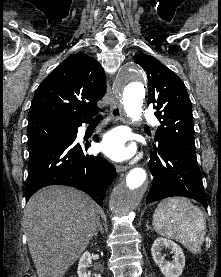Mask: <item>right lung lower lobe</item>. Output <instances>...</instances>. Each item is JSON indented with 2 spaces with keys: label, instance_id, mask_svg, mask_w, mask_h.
Segmentation results:
<instances>
[{
  "label": "right lung lower lobe",
  "instance_id": "98d812e1",
  "mask_svg": "<svg viewBox=\"0 0 221 277\" xmlns=\"http://www.w3.org/2000/svg\"><path fill=\"white\" fill-rule=\"evenodd\" d=\"M91 118L64 122L67 129L62 136L30 151L26 201L45 186L67 185L84 191L103 205L105 192L116 177V169L100 156L85 155L83 145L76 142L77 128ZM89 146L87 142L85 149Z\"/></svg>",
  "mask_w": 221,
  "mask_h": 277
}]
</instances>
